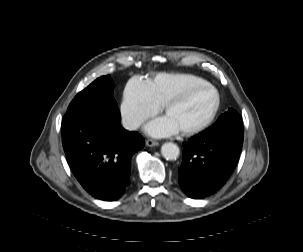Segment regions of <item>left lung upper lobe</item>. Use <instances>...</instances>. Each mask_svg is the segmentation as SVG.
<instances>
[{"instance_id": "1", "label": "left lung upper lobe", "mask_w": 303, "mask_h": 252, "mask_svg": "<svg viewBox=\"0 0 303 252\" xmlns=\"http://www.w3.org/2000/svg\"><path fill=\"white\" fill-rule=\"evenodd\" d=\"M203 133L208 135H243L242 119L236 110L229 108L227 112L218 118L213 127L205 130Z\"/></svg>"}]
</instances>
